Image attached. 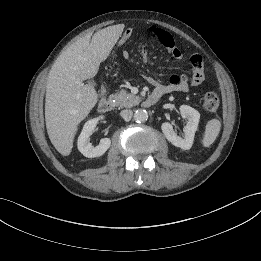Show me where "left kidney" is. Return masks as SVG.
Instances as JSON below:
<instances>
[{
	"instance_id": "obj_1",
	"label": "left kidney",
	"mask_w": 261,
	"mask_h": 261,
	"mask_svg": "<svg viewBox=\"0 0 261 261\" xmlns=\"http://www.w3.org/2000/svg\"><path fill=\"white\" fill-rule=\"evenodd\" d=\"M179 109L181 116L184 119H187V124L184 127V138H181L176 134L171 123H163L161 129L166 139L174 146L183 150H189L192 147L195 132L198 128L200 113L188 105H182Z\"/></svg>"
}]
</instances>
